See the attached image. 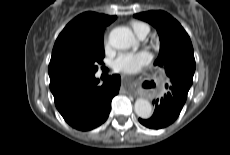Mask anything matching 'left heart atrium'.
Masks as SVG:
<instances>
[{
	"instance_id": "1",
	"label": "left heart atrium",
	"mask_w": 230,
	"mask_h": 155,
	"mask_svg": "<svg viewBox=\"0 0 230 155\" xmlns=\"http://www.w3.org/2000/svg\"><path fill=\"white\" fill-rule=\"evenodd\" d=\"M152 59L148 51L122 52L113 60L112 67L116 72L136 73L150 63Z\"/></svg>"
}]
</instances>
